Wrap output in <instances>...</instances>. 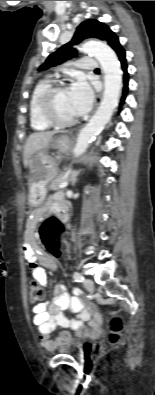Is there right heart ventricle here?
Masks as SVG:
<instances>
[{"mask_svg":"<svg viewBox=\"0 0 155 395\" xmlns=\"http://www.w3.org/2000/svg\"><path fill=\"white\" fill-rule=\"evenodd\" d=\"M52 85L50 79H43L39 81L34 87L29 99V121L32 129L36 131H44L51 127L40 116L38 111V100L41 94Z\"/></svg>","mask_w":155,"mask_h":395,"instance_id":"obj_1","label":"right heart ventricle"}]
</instances>
